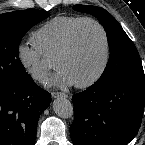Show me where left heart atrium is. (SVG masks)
<instances>
[{"mask_svg":"<svg viewBox=\"0 0 145 145\" xmlns=\"http://www.w3.org/2000/svg\"><path fill=\"white\" fill-rule=\"evenodd\" d=\"M50 84L55 87L66 88L73 85L74 83L65 72L58 70L53 75Z\"/></svg>","mask_w":145,"mask_h":145,"instance_id":"39dd6f15","label":"left heart atrium"}]
</instances>
